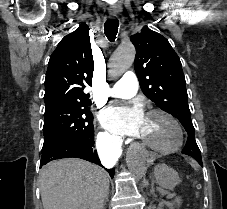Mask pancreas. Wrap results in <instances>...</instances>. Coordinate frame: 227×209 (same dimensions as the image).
Returning <instances> with one entry per match:
<instances>
[{
	"mask_svg": "<svg viewBox=\"0 0 227 209\" xmlns=\"http://www.w3.org/2000/svg\"><path fill=\"white\" fill-rule=\"evenodd\" d=\"M166 204L164 205L166 208L168 207V209H176L175 207H173L174 205L172 204V200L171 199H167Z\"/></svg>",
	"mask_w": 227,
	"mask_h": 209,
	"instance_id": "cf45deb5",
	"label": "pancreas"
}]
</instances>
